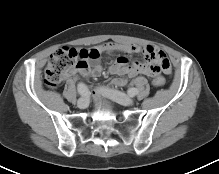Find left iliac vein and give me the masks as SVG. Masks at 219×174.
Instances as JSON below:
<instances>
[{"label":"left iliac vein","instance_id":"4c4485c4","mask_svg":"<svg viewBox=\"0 0 219 174\" xmlns=\"http://www.w3.org/2000/svg\"><path fill=\"white\" fill-rule=\"evenodd\" d=\"M101 91L109 98L116 100L117 102H119L124 106H132L134 104V100L130 96L120 91H116L112 89L109 90L101 89Z\"/></svg>","mask_w":219,"mask_h":174}]
</instances>
